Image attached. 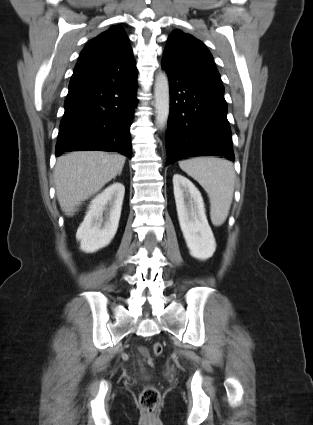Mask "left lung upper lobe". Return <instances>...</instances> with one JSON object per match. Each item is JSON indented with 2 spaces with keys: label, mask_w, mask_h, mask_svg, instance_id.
<instances>
[{
  "label": "left lung upper lobe",
  "mask_w": 313,
  "mask_h": 425,
  "mask_svg": "<svg viewBox=\"0 0 313 425\" xmlns=\"http://www.w3.org/2000/svg\"><path fill=\"white\" fill-rule=\"evenodd\" d=\"M162 60L190 77L222 83L213 57L206 46L179 29L169 35Z\"/></svg>",
  "instance_id": "left-lung-upper-lobe-1"
}]
</instances>
